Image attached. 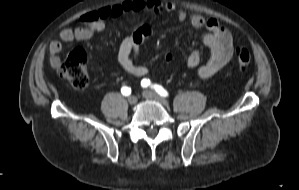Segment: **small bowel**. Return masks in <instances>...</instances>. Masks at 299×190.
Listing matches in <instances>:
<instances>
[{
	"instance_id": "obj_1",
	"label": "small bowel",
	"mask_w": 299,
	"mask_h": 190,
	"mask_svg": "<svg viewBox=\"0 0 299 190\" xmlns=\"http://www.w3.org/2000/svg\"><path fill=\"white\" fill-rule=\"evenodd\" d=\"M161 10L172 13L176 7L173 3L162 5L156 0H129L121 4L85 12L81 16L82 26L62 30L59 34V40L51 42L49 52L52 66L58 67L60 63L58 54L63 49V42L88 40L105 29L107 20L118 18L127 13L147 11L157 14ZM176 16L180 22L188 21L194 28H206L207 33L204 34L202 41L209 49L210 55L207 62L199 67L198 73L204 79L210 78L232 58L234 49L232 34L213 17L205 18L199 14L188 15L184 10H177ZM151 34L150 26L144 24L123 38L118 51V62L127 73L137 77L145 76L148 73V68L136 64L135 58L140 46L150 39ZM200 62L201 53L195 49L189 54L186 67L196 68Z\"/></svg>"
}]
</instances>
